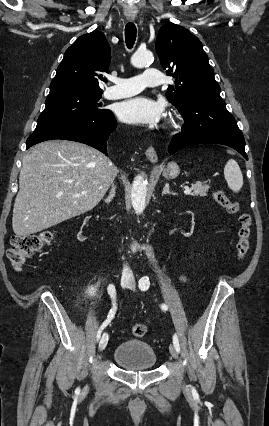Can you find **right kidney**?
Masks as SVG:
<instances>
[{
	"label": "right kidney",
	"instance_id": "ca27d5eb",
	"mask_svg": "<svg viewBox=\"0 0 269 426\" xmlns=\"http://www.w3.org/2000/svg\"><path fill=\"white\" fill-rule=\"evenodd\" d=\"M92 220V217L91 216H85V220H84V222H83V225H82V227H81V231L78 233V235H77V239L80 241V242H83V241H85L86 239H87V237L86 236H83L82 235V228H83V226L86 224V222L87 221H91ZM92 296L94 297V300L95 301H99L100 300V297L102 296V293L101 292H98V293H96V292H93L92 293Z\"/></svg>",
	"mask_w": 269,
	"mask_h": 426
}]
</instances>
